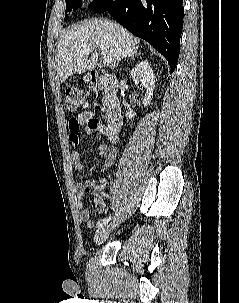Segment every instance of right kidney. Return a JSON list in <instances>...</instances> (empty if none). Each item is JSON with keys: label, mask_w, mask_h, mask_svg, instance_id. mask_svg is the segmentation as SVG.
Returning <instances> with one entry per match:
<instances>
[{"label": "right kidney", "mask_w": 239, "mask_h": 303, "mask_svg": "<svg viewBox=\"0 0 239 303\" xmlns=\"http://www.w3.org/2000/svg\"><path fill=\"white\" fill-rule=\"evenodd\" d=\"M130 75L135 84L140 83L142 88L146 90V94L143 100L144 106L150 105L153 98V90L155 84V76L153 70L148 61H142L137 64L130 72ZM135 113L132 111L126 112L125 116L129 119L135 117Z\"/></svg>", "instance_id": "1"}]
</instances>
